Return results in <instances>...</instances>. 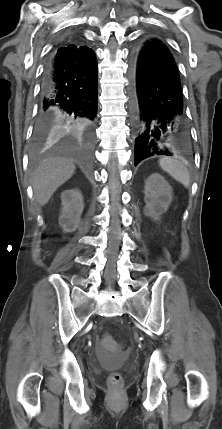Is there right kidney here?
Masks as SVG:
<instances>
[{"label":"right kidney","instance_id":"ca27d5eb","mask_svg":"<svg viewBox=\"0 0 222 429\" xmlns=\"http://www.w3.org/2000/svg\"><path fill=\"white\" fill-rule=\"evenodd\" d=\"M62 209L59 224L66 233L74 232L80 224L84 209L83 196L78 189L65 190L61 193Z\"/></svg>","mask_w":222,"mask_h":429}]
</instances>
